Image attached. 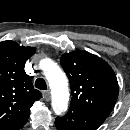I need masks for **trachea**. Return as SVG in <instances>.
Wrapping results in <instances>:
<instances>
[{"label": "trachea", "instance_id": "1", "mask_svg": "<svg viewBox=\"0 0 130 130\" xmlns=\"http://www.w3.org/2000/svg\"><path fill=\"white\" fill-rule=\"evenodd\" d=\"M35 87L37 89H40V90H46L47 89V85H46L45 80L43 78H38L35 81Z\"/></svg>", "mask_w": 130, "mask_h": 130}]
</instances>
